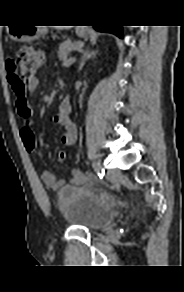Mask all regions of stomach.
I'll list each match as a JSON object with an SVG mask.
<instances>
[{"instance_id": "obj_1", "label": "stomach", "mask_w": 184, "mask_h": 292, "mask_svg": "<svg viewBox=\"0 0 184 292\" xmlns=\"http://www.w3.org/2000/svg\"><path fill=\"white\" fill-rule=\"evenodd\" d=\"M11 38L15 41H31L39 38L44 33V28L40 26H28L21 30H11ZM78 35L86 36V31H79Z\"/></svg>"}]
</instances>
